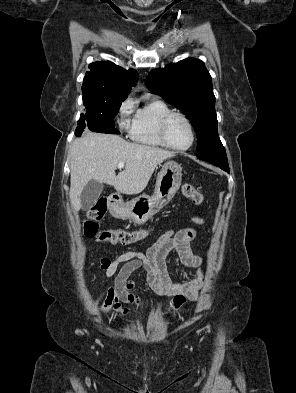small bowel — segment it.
Masks as SVG:
<instances>
[{
	"mask_svg": "<svg viewBox=\"0 0 296 393\" xmlns=\"http://www.w3.org/2000/svg\"><path fill=\"white\" fill-rule=\"evenodd\" d=\"M192 221L197 225L204 223V219L199 216H192ZM196 236L197 231L194 228L168 230L146 253L129 251L114 260L102 258L101 269L106 277H112L117 273L114 284L96 299L97 303L103 302V313L113 308L120 315H127L128 310L122 308V303L144 306L142 299L133 293L135 284L129 279L133 272L141 269L145 272L148 285L156 294L173 297L166 307V313L172 317L177 316L186 301L196 299L202 285V258L194 254L191 249V242ZM172 250L178 253L184 265L198 268L196 278L188 282L172 283L170 281L165 258Z\"/></svg>",
	"mask_w": 296,
	"mask_h": 393,
	"instance_id": "1",
	"label": "small bowel"
}]
</instances>
